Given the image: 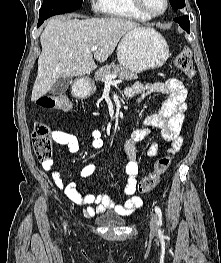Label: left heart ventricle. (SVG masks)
Listing matches in <instances>:
<instances>
[{
  "label": "left heart ventricle",
  "mask_w": 221,
  "mask_h": 263,
  "mask_svg": "<svg viewBox=\"0 0 221 263\" xmlns=\"http://www.w3.org/2000/svg\"><path fill=\"white\" fill-rule=\"evenodd\" d=\"M145 7L153 13L160 12L165 7V0H143Z\"/></svg>",
  "instance_id": "left-heart-ventricle-1"
}]
</instances>
